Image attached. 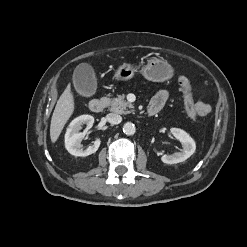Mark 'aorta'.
I'll return each instance as SVG.
<instances>
[{"label": "aorta", "instance_id": "762f6f07", "mask_svg": "<svg viewBox=\"0 0 247 247\" xmlns=\"http://www.w3.org/2000/svg\"><path fill=\"white\" fill-rule=\"evenodd\" d=\"M136 131V128H135V125L131 122H127L124 124L123 126V132L130 136V135H133Z\"/></svg>", "mask_w": 247, "mask_h": 247}]
</instances>
